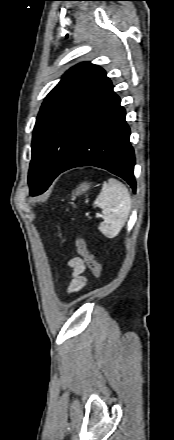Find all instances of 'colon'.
Instances as JSON below:
<instances>
[{"label":"colon","mask_w":174,"mask_h":440,"mask_svg":"<svg viewBox=\"0 0 174 440\" xmlns=\"http://www.w3.org/2000/svg\"><path fill=\"white\" fill-rule=\"evenodd\" d=\"M74 244L78 254L84 261L85 265L92 272L95 278L100 279L102 276L101 265L95 260L94 256L90 253L85 240L79 236L74 238Z\"/></svg>","instance_id":"obj_1"}]
</instances>
